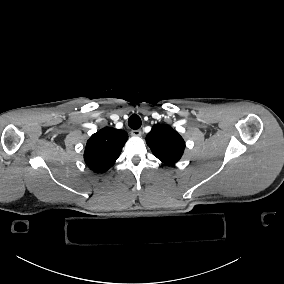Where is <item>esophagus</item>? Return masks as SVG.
<instances>
[{"label": "esophagus", "instance_id": "1", "mask_svg": "<svg viewBox=\"0 0 284 284\" xmlns=\"http://www.w3.org/2000/svg\"><path fill=\"white\" fill-rule=\"evenodd\" d=\"M131 135L134 136V137H140L142 135V132L141 130H132L131 131Z\"/></svg>", "mask_w": 284, "mask_h": 284}]
</instances>
